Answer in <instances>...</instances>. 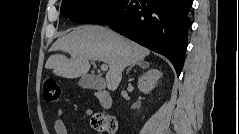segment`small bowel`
<instances>
[{"label": "small bowel", "instance_id": "small-bowel-1", "mask_svg": "<svg viewBox=\"0 0 239 134\" xmlns=\"http://www.w3.org/2000/svg\"><path fill=\"white\" fill-rule=\"evenodd\" d=\"M62 113L63 111L60 108L56 111L57 117L54 121V134H68L67 127L64 121L61 119ZM92 113V110L86 109L83 111L82 117L84 119H88L92 116Z\"/></svg>", "mask_w": 239, "mask_h": 134}]
</instances>
